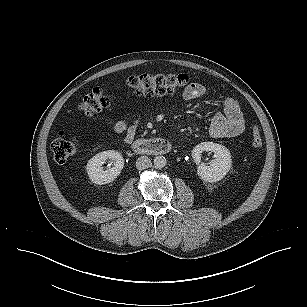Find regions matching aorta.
<instances>
[{"label":"aorta","instance_id":"aorta-1","mask_svg":"<svg viewBox=\"0 0 307 307\" xmlns=\"http://www.w3.org/2000/svg\"><path fill=\"white\" fill-rule=\"evenodd\" d=\"M167 164V160L164 156H156L154 158V165L157 168H163L165 167Z\"/></svg>","mask_w":307,"mask_h":307}]
</instances>
